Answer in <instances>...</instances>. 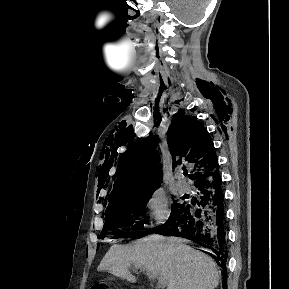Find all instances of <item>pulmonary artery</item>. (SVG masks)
<instances>
[{"mask_svg":"<svg viewBox=\"0 0 289 289\" xmlns=\"http://www.w3.org/2000/svg\"><path fill=\"white\" fill-rule=\"evenodd\" d=\"M176 186L181 192H187L190 189L189 184L182 180L180 175L176 176Z\"/></svg>","mask_w":289,"mask_h":289,"instance_id":"e3ab8cb5","label":"pulmonary artery"}]
</instances>
